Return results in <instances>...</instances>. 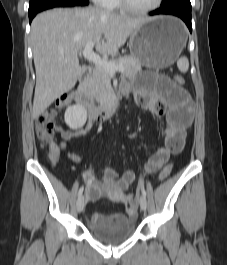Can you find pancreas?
Returning a JSON list of instances; mask_svg holds the SVG:
<instances>
[{
    "label": "pancreas",
    "mask_w": 227,
    "mask_h": 265,
    "mask_svg": "<svg viewBox=\"0 0 227 265\" xmlns=\"http://www.w3.org/2000/svg\"><path fill=\"white\" fill-rule=\"evenodd\" d=\"M109 62L115 65H123L125 70L122 74L126 77L135 76L141 71L140 63L132 56L113 57ZM88 89L90 95L95 98L97 102L103 103L113 93L111 75L104 68L96 65L89 79Z\"/></svg>",
    "instance_id": "1"
}]
</instances>
